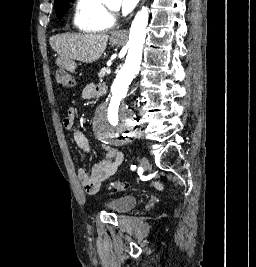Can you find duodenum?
I'll return each instance as SVG.
<instances>
[{
  "mask_svg": "<svg viewBox=\"0 0 256 267\" xmlns=\"http://www.w3.org/2000/svg\"><path fill=\"white\" fill-rule=\"evenodd\" d=\"M75 66H63L62 67V73H71V71H75ZM96 87H102V89H105L106 83L105 82H96ZM102 93H105V90H102Z\"/></svg>",
  "mask_w": 256,
  "mask_h": 267,
  "instance_id": "obj_1",
  "label": "duodenum"
}]
</instances>
